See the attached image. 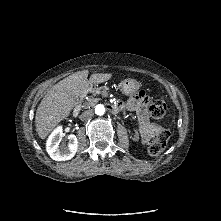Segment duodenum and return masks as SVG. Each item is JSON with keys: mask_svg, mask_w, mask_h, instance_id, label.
I'll list each match as a JSON object with an SVG mask.
<instances>
[{"mask_svg": "<svg viewBox=\"0 0 221 221\" xmlns=\"http://www.w3.org/2000/svg\"><path fill=\"white\" fill-rule=\"evenodd\" d=\"M81 109V101H77L75 107H74V115H77ZM110 110L112 113H119L121 111V106L117 104H112L110 107Z\"/></svg>", "mask_w": 221, "mask_h": 221, "instance_id": "obj_1", "label": "duodenum"}]
</instances>
